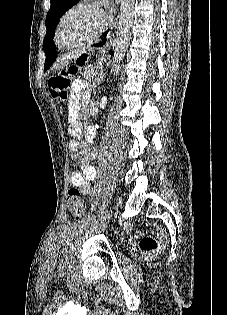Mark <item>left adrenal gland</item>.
I'll return each instance as SVG.
<instances>
[{
    "label": "left adrenal gland",
    "instance_id": "left-adrenal-gland-1",
    "mask_svg": "<svg viewBox=\"0 0 227 315\" xmlns=\"http://www.w3.org/2000/svg\"><path fill=\"white\" fill-rule=\"evenodd\" d=\"M104 75H103V71H101L98 75V77L95 80V84H99L100 81H103ZM97 86L95 85L94 88H96Z\"/></svg>",
    "mask_w": 227,
    "mask_h": 315
}]
</instances>
